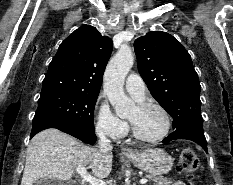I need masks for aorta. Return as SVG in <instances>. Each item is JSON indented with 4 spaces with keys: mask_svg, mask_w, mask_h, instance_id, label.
I'll use <instances>...</instances> for the list:
<instances>
[{
    "mask_svg": "<svg viewBox=\"0 0 233 185\" xmlns=\"http://www.w3.org/2000/svg\"><path fill=\"white\" fill-rule=\"evenodd\" d=\"M134 57L130 50L120 49L107 65L104 91L118 117L125 118L134 109V102L123 90L125 77L132 68Z\"/></svg>",
    "mask_w": 233,
    "mask_h": 185,
    "instance_id": "aorta-1",
    "label": "aorta"
}]
</instances>
